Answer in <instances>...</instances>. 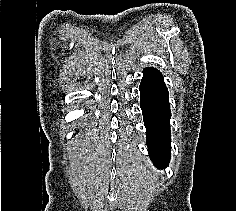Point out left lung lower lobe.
Segmentation results:
<instances>
[{"label": "left lung lower lobe", "mask_w": 236, "mask_h": 211, "mask_svg": "<svg viewBox=\"0 0 236 211\" xmlns=\"http://www.w3.org/2000/svg\"><path fill=\"white\" fill-rule=\"evenodd\" d=\"M139 89L149 155L155 166L165 168L170 160L171 111L162 74L155 68H145Z\"/></svg>", "instance_id": "0a47b994"}]
</instances>
